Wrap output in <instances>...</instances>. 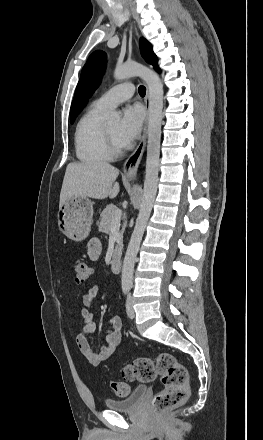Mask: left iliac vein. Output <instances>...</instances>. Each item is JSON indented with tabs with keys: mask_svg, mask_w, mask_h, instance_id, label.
Instances as JSON below:
<instances>
[{
	"mask_svg": "<svg viewBox=\"0 0 263 440\" xmlns=\"http://www.w3.org/2000/svg\"><path fill=\"white\" fill-rule=\"evenodd\" d=\"M126 312H127V316H128L130 319H133V318H134V316H135V312H134V309H133V304H132V298H131V296H128V298H127Z\"/></svg>",
	"mask_w": 263,
	"mask_h": 440,
	"instance_id": "4c4485c4",
	"label": "left iliac vein"
}]
</instances>
